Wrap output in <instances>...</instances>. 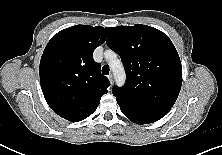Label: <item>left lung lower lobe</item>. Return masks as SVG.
I'll return each instance as SVG.
<instances>
[{
	"instance_id": "0a47b994",
	"label": "left lung lower lobe",
	"mask_w": 222,
	"mask_h": 155,
	"mask_svg": "<svg viewBox=\"0 0 222 155\" xmlns=\"http://www.w3.org/2000/svg\"><path fill=\"white\" fill-rule=\"evenodd\" d=\"M122 113L132 122L137 124H147V123H153L161 118L147 115V114H140L136 112H132L128 109H125L123 107H120Z\"/></svg>"
}]
</instances>
